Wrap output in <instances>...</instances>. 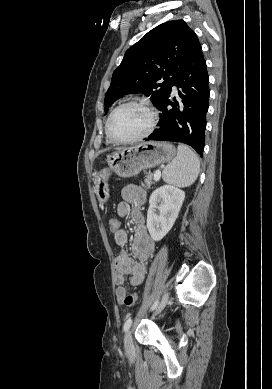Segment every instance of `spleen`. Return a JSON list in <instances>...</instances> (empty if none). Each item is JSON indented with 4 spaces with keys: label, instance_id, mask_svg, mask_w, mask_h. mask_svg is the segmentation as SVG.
Instances as JSON below:
<instances>
[{
    "label": "spleen",
    "instance_id": "spleen-1",
    "mask_svg": "<svg viewBox=\"0 0 272 389\" xmlns=\"http://www.w3.org/2000/svg\"><path fill=\"white\" fill-rule=\"evenodd\" d=\"M200 172L198 156L186 145L177 147V156L163 170V181L178 187L192 185Z\"/></svg>",
    "mask_w": 272,
    "mask_h": 389
}]
</instances>
